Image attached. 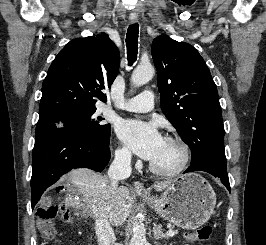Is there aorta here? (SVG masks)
Masks as SVG:
<instances>
[{"instance_id": "762f6f07", "label": "aorta", "mask_w": 266, "mask_h": 245, "mask_svg": "<svg viewBox=\"0 0 266 245\" xmlns=\"http://www.w3.org/2000/svg\"><path fill=\"white\" fill-rule=\"evenodd\" d=\"M154 74L152 64H139L132 72L131 82L134 86H142L151 80ZM146 227L142 223V217H138L133 225L132 239L130 245H146Z\"/></svg>"}]
</instances>
